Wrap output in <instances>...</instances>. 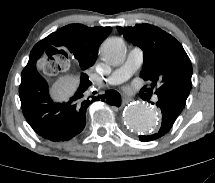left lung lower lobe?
<instances>
[{
    "label": "left lung lower lobe",
    "instance_id": "obj_1",
    "mask_svg": "<svg viewBox=\"0 0 215 183\" xmlns=\"http://www.w3.org/2000/svg\"><path fill=\"white\" fill-rule=\"evenodd\" d=\"M156 105L160 108L162 113L161 128L159 132L156 134L149 135V136H140L139 139L143 142L157 139L163 136L164 134H166L173 126L175 120L183 110L173 100L163 96H158Z\"/></svg>",
    "mask_w": 215,
    "mask_h": 183
}]
</instances>
